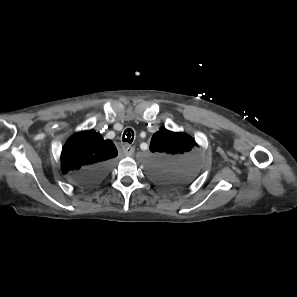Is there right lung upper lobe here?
Wrapping results in <instances>:
<instances>
[{
  "instance_id": "right-lung-upper-lobe-1",
  "label": "right lung upper lobe",
  "mask_w": 297,
  "mask_h": 297,
  "mask_svg": "<svg viewBox=\"0 0 297 297\" xmlns=\"http://www.w3.org/2000/svg\"><path fill=\"white\" fill-rule=\"evenodd\" d=\"M117 149L111 140L92 130L74 134L61 153L62 170L70 175L100 163H110Z\"/></svg>"
}]
</instances>
